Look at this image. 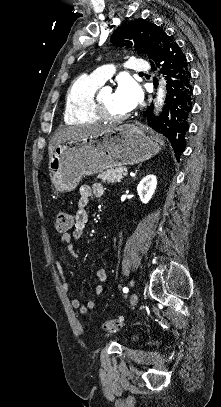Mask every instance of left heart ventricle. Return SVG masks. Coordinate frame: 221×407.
<instances>
[{
	"instance_id": "obj_1",
	"label": "left heart ventricle",
	"mask_w": 221,
	"mask_h": 407,
	"mask_svg": "<svg viewBox=\"0 0 221 407\" xmlns=\"http://www.w3.org/2000/svg\"><path fill=\"white\" fill-rule=\"evenodd\" d=\"M100 99L105 103L107 108L116 115L128 113V110L121 104L116 96L115 91H109L101 95Z\"/></svg>"
}]
</instances>
